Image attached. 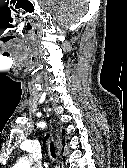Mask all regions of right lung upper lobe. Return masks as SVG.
Segmentation results:
<instances>
[{
    "label": "right lung upper lobe",
    "instance_id": "cb5924a9",
    "mask_svg": "<svg viewBox=\"0 0 127 168\" xmlns=\"http://www.w3.org/2000/svg\"><path fill=\"white\" fill-rule=\"evenodd\" d=\"M62 133L65 134V130H62ZM47 137H48V135H47Z\"/></svg>",
    "mask_w": 127,
    "mask_h": 168
}]
</instances>
